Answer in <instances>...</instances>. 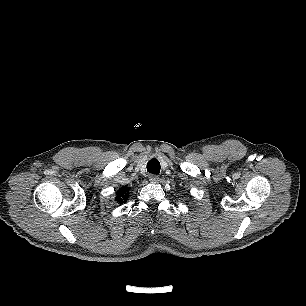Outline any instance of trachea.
Wrapping results in <instances>:
<instances>
[{
    "instance_id": "trachea-1",
    "label": "trachea",
    "mask_w": 306,
    "mask_h": 306,
    "mask_svg": "<svg viewBox=\"0 0 306 306\" xmlns=\"http://www.w3.org/2000/svg\"><path fill=\"white\" fill-rule=\"evenodd\" d=\"M160 163L157 159L153 158L147 163V171L152 174L160 173Z\"/></svg>"
}]
</instances>
